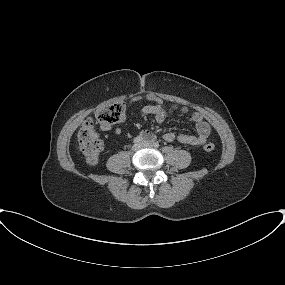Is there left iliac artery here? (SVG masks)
I'll list each match as a JSON object with an SVG mask.
<instances>
[{
  "mask_svg": "<svg viewBox=\"0 0 285 285\" xmlns=\"http://www.w3.org/2000/svg\"><path fill=\"white\" fill-rule=\"evenodd\" d=\"M154 147H155V148H158V147H159V143H158V142H155V143H154Z\"/></svg>",
  "mask_w": 285,
  "mask_h": 285,
  "instance_id": "left-iliac-artery-1",
  "label": "left iliac artery"
}]
</instances>
